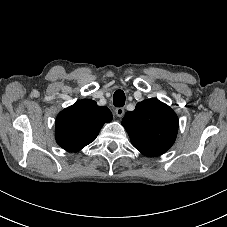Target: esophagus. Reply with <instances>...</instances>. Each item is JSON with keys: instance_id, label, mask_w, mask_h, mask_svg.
Wrapping results in <instances>:
<instances>
[{"instance_id": "obj_1", "label": "esophagus", "mask_w": 227, "mask_h": 227, "mask_svg": "<svg viewBox=\"0 0 227 227\" xmlns=\"http://www.w3.org/2000/svg\"><path fill=\"white\" fill-rule=\"evenodd\" d=\"M124 108H121V107H119V108H116L115 109V114L118 116V117H122L123 115H124Z\"/></svg>"}]
</instances>
